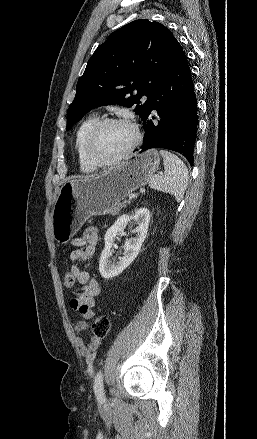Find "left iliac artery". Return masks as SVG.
Listing matches in <instances>:
<instances>
[{
  "label": "left iliac artery",
  "mask_w": 257,
  "mask_h": 439,
  "mask_svg": "<svg viewBox=\"0 0 257 439\" xmlns=\"http://www.w3.org/2000/svg\"><path fill=\"white\" fill-rule=\"evenodd\" d=\"M94 392L99 400L104 399L103 373L99 371L94 378Z\"/></svg>",
  "instance_id": "44dca946"
}]
</instances>
